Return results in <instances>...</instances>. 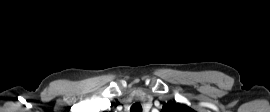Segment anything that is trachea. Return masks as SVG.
<instances>
[{
    "instance_id": "1",
    "label": "trachea",
    "mask_w": 270,
    "mask_h": 112,
    "mask_svg": "<svg viewBox=\"0 0 270 112\" xmlns=\"http://www.w3.org/2000/svg\"><path fill=\"white\" fill-rule=\"evenodd\" d=\"M130 112H142V106L140 103H135L131 106Z\"/></svg>"
}]
</instances>
